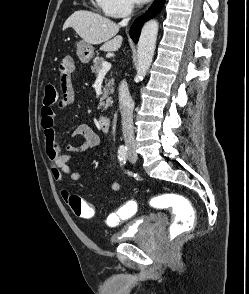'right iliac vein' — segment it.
<instances>
[{
	"instance_id": "1",
	"label": "right iliac vein",
	"mask_w": 249,
	"mask_h": 294,
	"mask_svg": "<svg viewBox=\"0 0 249 294\" xmlns=\"http://www.w3.org/2000/svg\"><path fill=\"white\" fill-rule=\"evenodd\" d=\"M129 158H130V160L131 161H136V159H137V156H136V154H135V152L133 151V150H130L129 151Z\"/></svg>"
}]
</instances>
